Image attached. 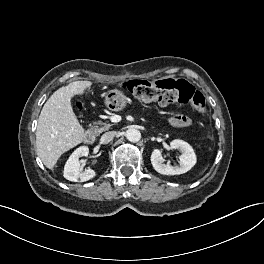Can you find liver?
Instances as JSON below:
<instances>
[{
	"label": "liver",
	"instance_id": "obj_1",
	"mask_svg": "<svg viewBox=\"0 0 264 264\" xmlns=\"http://www.w3.org/2000/svg\"><path fill=\"white\" fill-rule=\"evenodd\" d=\"M75 81L55 91L44 104L36 130V151L43 164L53 169L60 156L83 141L84 129L71 106V98L91 87Z\"/></svg>",
	"mask_w": 264,
	"mask_h": 264
}]
</instances>
